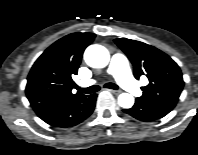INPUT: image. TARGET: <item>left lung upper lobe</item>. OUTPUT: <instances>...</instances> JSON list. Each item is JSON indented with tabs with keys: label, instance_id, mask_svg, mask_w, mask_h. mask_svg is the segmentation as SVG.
<instances>
[{
	"label": "left lung upper lobe",
	"instance_id": "obj_1",
	"mask_svg": "<svg viewBox=\"0 0 198 155\" xmlns=\"http://www.w3.org/2000/svg\"><path fill=\"white\" fill-rule=\"evenodd\" d=\"M115 43L128 56L137 79L146 75L149 84L142 87L140 100L149 103L176 105L184 86L179 66L165 53L140 41L115 39Z\"/></svg>",
	"mask_w": 198,
	"mask_h": 155
}]
</instances>
